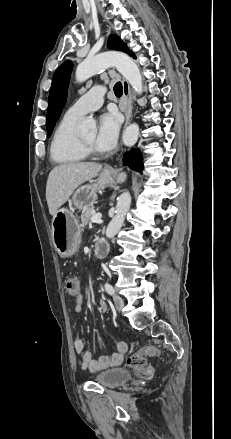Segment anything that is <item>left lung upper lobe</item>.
Here are the masks:
<instances>
[{"label":"left lung upper lobe","mask_w":231,"mask_h":439,"mask_svg":"<svg viewBox=\"0 0 231 439\" xmlns=\"http://www.w3.org/2000/svg\"><path fill=\"white\" fill-rule=\"evenodd\" d=\"M108 48L123 51L134 57L132 51L116 34H111L108 39ZM72 63L64 62L54 73L49 93V106L47 113V136L50 137L56 121L58 120L66 102L67 88L72 71Z\"/></svg>","instance_id":"left-lung-upper-lobe-1"}]
</instances>
